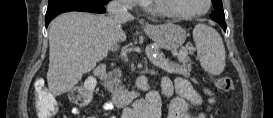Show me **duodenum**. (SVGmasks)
I'll list each match as a JSON object with an SVG mask.
<instances>
[{"label":"duodenum","mask_w":273,"mask_h":118,"mask_svg":"<svg viewBox=\"0 0 273 118\" xmlns=\"http://www.w3.org/2000/svg\"><path fill=\"white\" fill-rule=\"evenodd\" d=\"M107 67L105 64H98L94 69V76L103 81L105 78ZM139 93L137 91L118 90L110 93L109 100L115 107H124L134 100Z\"/></svg>","instance_id":"410a0bca"}]
</instances>
